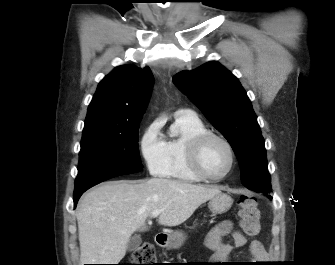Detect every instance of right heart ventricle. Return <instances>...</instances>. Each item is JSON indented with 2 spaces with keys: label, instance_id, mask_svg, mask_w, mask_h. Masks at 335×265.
I'll return each instance as SVG.
<instances>
[{
  "label": "right heart ventricle",
  "instance_id": "e07e8e85",
  "mask_svg": "<svg viewBox=\"0 0 335 265\" xmlns=\"http://www.w3.org/2000/svg\"><path fill=\"white\" fill-rule=\"evenodd\" d=\"M173 126L179 134L165 140L167 165L163 176L188 183L200 182L202 179L191 170L188 163V145L194 137L208 130L197 117L176 116Z\"/></svg>",
  "mask_w": 335,
  "mask_h": 265
}]
</instances>
